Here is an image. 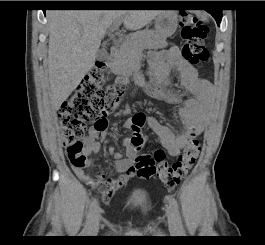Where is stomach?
<instances>
[{
	"label": "stomach",
	"instance_id": "obj_1",
	"mask_svg": "<svg viewBox=\"0 0 265 245\" xmlns=\"http://www.w3.org/2000/svg\"><path fill=\"white\" fill-rule=\"evenodd\" d=\"M178 26V14L175 11H164L155 18V33L160 37L172 36Z\"/></svg>",
	"mask_w": 265,
	"mask_h": 245
}]
</instances>
